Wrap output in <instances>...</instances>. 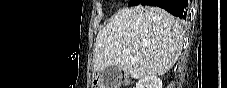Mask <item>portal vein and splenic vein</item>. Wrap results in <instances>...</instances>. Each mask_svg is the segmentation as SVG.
<instances>
[{"label":"portal vein and splenic vein","instance_id":"portal-vein-and-splenic-vein-1","mask_svg":"<svg viewBox=\"0 0 227 88\" xmlns=\"http://www.w3.org/2000/svg\"><path fill=\"white\" fill-rule=\"evenodd\" d=\"M123 53H124V54L130 55V50H128V49H123ZM130 59H131L132 61H135V58H134L133 56H131V55H130Z\"/></svg>","mask_w":227,"mask_h":88}]
</instances>
